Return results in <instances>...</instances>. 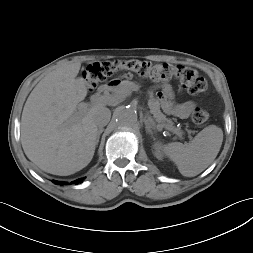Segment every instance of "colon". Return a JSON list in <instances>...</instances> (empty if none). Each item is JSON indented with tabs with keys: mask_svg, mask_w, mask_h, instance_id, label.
Here are the masks:
<instances>
[{
	"mask_svg": "<svg viewBox=\"0 0 253 253\" xmlns=\"http://www.w3.org/2000/svg\"><path fill=\"white\" fill-rule=\"evenodd\" d=\"M128 70L138 76L156 81L177 79L181 82L188 93L197 95L207 89L206 79L196 70L169 63H152L145 60L129 59L96 62L87 66L84 77L90 86H96L114 73ZM192 122L202 125L208 119V113L201 107H196L191 116Z\"/></svg>",
	"mask_w": 253,
	"mask_h": 253,
	"instance_id": "colon-1",
	"label": "colon"
}]
</instances>
